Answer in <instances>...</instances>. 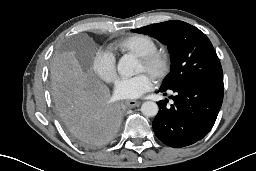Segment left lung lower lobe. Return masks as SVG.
Segmentation results:
<instances>
[{
    "mask_svg": "<svg viewBox=\"0 0 256 171\" xmlns=\"http://www.w3.org/2000/svg\"><path fill=\"white\" fill-rule=\"evenodd\" d=\"M174 104L159 101V112L152 123L163 143L180 148L201 140L213 127L223 100V81L193 79L171 89Z\"/></svg>",
    "mask_w": 256,
    "mask_h": 171,
    "instance_id": "left-lung-lower-lobe-1",
    "label": "left lung lower lobe"
}]
</instances>
